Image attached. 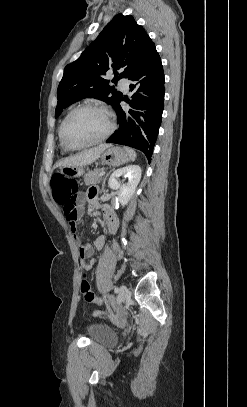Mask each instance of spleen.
Here are the masks:
<instances>
[{"mask_svg":"<svg viewBox=\"0 0 247 407\" xmlns=\"http://www.w3.org/2000/svg\"><path fill=\"white\" fill-rule=\"evenodd\" d=\"M124 149L128 152L130 160L134 161L136 159V156H137L136 152L133 149L129 148V147H125Z\"/></svg>","mask_w":247,"mask_h":407,"instance_id":"1","label":"spleen"}]
</instances>
